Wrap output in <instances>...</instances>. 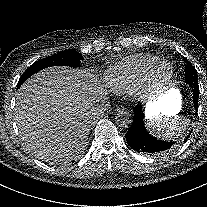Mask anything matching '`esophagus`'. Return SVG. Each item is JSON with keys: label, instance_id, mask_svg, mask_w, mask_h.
<instances>
[{"label": "esophagus", "instance_id": "esophagus-1", "mask_svg": "<svg viewBox=\"0 0 207 207\" xmlns=\"http://www.w3.org/2000/svg\"><path fill=\"white\" fill-rule=\"evenodd\" d=\"M118 109H125V107H124V106L117 105V106L115 107V112H116Z\"/></svg>", "mask_w": 207, "mask_h": 207}]
</instances>
